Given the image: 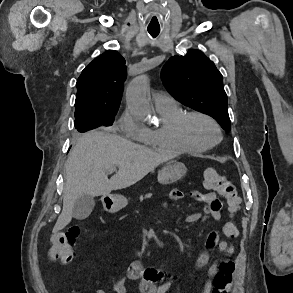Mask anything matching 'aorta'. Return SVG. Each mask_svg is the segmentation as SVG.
Returning <instances> with one entry per match:
<instances>
[{"mask_svg":"<svg viewBox=\"0 0 293 293\" xmlns=\"http://www.w3.org/2000/svg\"><path fill=\"white\" fill-rule=\"evenodd\" d=\"M148 86V77L143 74L136 77L127 88L128 105L141 118H149L152 113Z\"/></svg>","mask_w":293,"mask_h":293,"instance_id":"obj_1","label":"aorta"}]
</instances>
